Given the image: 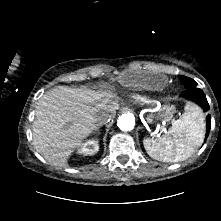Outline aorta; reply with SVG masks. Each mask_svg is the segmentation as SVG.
Listing matches in <instances>:
<instances>
[{"label":"aorta","instance_id":"obj_1","mask_svg":"<svg viewBox=\"0 0 221 221\" xmlns=\"http://www.w3.org/2000/svg\"><path fill=\"white\" fill-rule=\"evenodd\" d=\"M117 126L122 131H130L135 126V118L132 114H122L117 120Z\"/></svg>","mask_w":221,"mask_h":221}]
</instances>
